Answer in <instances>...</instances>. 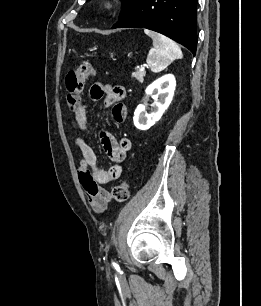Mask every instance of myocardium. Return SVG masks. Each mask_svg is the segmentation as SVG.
Listing matches in <instances>:
<instances>
[{
	"label": "myocardium",
	"mask_w": 261,
	"mask_h": 306,
	"mask_svg": "<svg viewBox=\"0 0 261 306\" xmlns=\"http://www.w3.org/2000/svg\"><path fill=\"white\" fill-rule=\"evenodd\" d=\"M120 5V0H102L101 7L106 12L115 11Z\"/></svg>",
	"instance_id": "myocardium-1"
}]
</instances>
